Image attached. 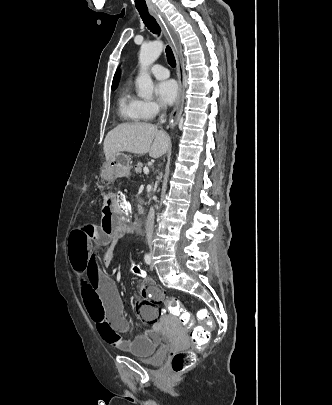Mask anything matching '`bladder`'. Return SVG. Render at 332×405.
I'll use <instances>...</instances> for the list:
<instances>
[{
    "instance_id": "31cf9c89",
    "label": "bladder",
    "mask_w": 332,
    "mask_h": 405,
    "mask_svg": "<svg viewBox=\"0 0 332 405\" xmlns=\"http://www.w3.org/2000/svg\"><path fill=\"white\" fill-rule=\"evenodd\" d=\"M126 352L141 361L147 362L149 364L159 365L162 364L166 358L167 345L164 341H162L159 343L151 344L147 353L141 352L139 350H130Z\"/></svg>"
}]
</instances>
